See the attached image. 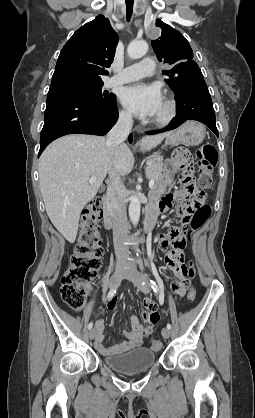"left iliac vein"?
Returning a JSON list of instances; mask_svg holds the SVG:
<instances>
[{
	"label": "left iliac vein",
	"instance_id": "4c4485c4",
	"mask_svg": "<svg viewBox=\"0 0 255 418\" xmlns=\"http://www.w3.org/2000/svg\"><path fill=\"white\" fill-rule=\"evenodd\" d=\"M125 278L136 284L143 293H150V284L144 283V281L147 280V277L139 272L134 266H131L125 272ZM161 334L165 339H168L170 337V330L168 328H163Z\"/></svg>",
	"mask_w": 255,
	"mask_h": 418
}]
</instances>
